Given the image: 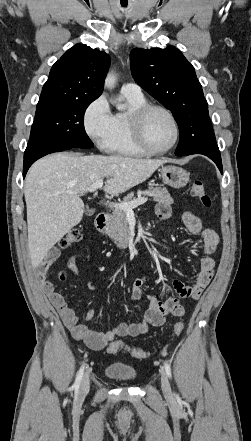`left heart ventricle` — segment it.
Instances as JSON below:
<instances>
[{"mask_svg":"<svg viewBox=\"0 0 251 441\" xmlns=\"http://www.w3.org/2000/svg\"><path fill=\"white\" fill-rule=\"evenodd\" d=\"M145 136L155 149L168 147L174 138V128L170 118L162 111H152L145 120Z\"/></svg>","mask_w":251,"mask_h":441,"instance_id":"1","label":"left heart ventricle"}]
</instances>
